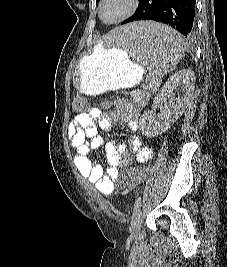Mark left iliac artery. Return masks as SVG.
Returning a JSON list of instances; mask_svg holds the SVG:
<instances>
[{
	"instance_id": "1",
	"label": "left iliac artery",
	"mask_w": 227,
	"mask_h": 267,
	"mask_svg": "<svg viewBox=\"0 0 227 267\" xmlns=\"http://www.w3.org/2000/svg\"><path fill=\"white\" fill-rule=\"evenodd\" d=\"M141 205V197H139L134 204V211H136Z\"/></svg>"
}]
</instances>
